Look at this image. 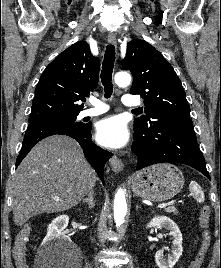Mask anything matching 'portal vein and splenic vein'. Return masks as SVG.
<instances>
[{
  "mask_svg": "<svg viewBox=\"0 0 221 268\" xmlns=\"http://www.w3.org/2000/svg\"><path fill=\"white\" fill-rule=\"evenodd\" d=\"M167 206H168L167 203H161V204L158 205V208H165Z\"/></svg>",
  "mask_w": 221,
  "mask_h": 268,
  "instance_id": "portal-vein-and-splenic-vein-1",
  "label": "portal vein and splenic vein"
}]
</instances>
